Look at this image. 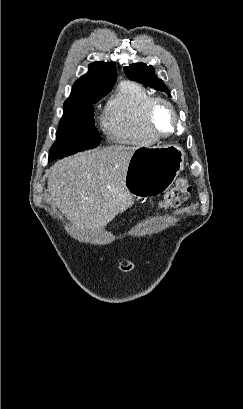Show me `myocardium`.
<instances>
[{
  "instance_id": "f54148a6",
  "label": "myocardium",
  "mask_w": 243,
  "mask_h": 409,
  "mask_svg": "<svg viewBox=\"0 0 243 409\" xmlns=\"http://www.w3.org/2000/svg\"><path fill=\"white\" fill-rule=\"evenodd\" d=\"M160 105L166 106L173 117L174 121L173 129L167 133L159 132L154 124V114ZM145 123L147 129L149 130L153 137H155L156 139H164L172 136L176 132L177 127L179 125V117L173 104L170 101L161 97H153L146 106Z\"/></svg>"
}]
</instances>
